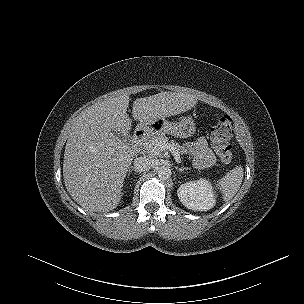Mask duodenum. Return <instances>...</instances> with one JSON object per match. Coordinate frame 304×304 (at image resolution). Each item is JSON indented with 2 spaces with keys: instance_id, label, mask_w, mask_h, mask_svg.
Wrapping results in <instances>:
<instances>
[{
  "instance_id": "obj_1",
  "label": "duodenum",
  "mask_w": 304,
  "mask_h": 304,
  "mask_svg": "<svg viewBox=\"0 0 304 304\" xmlns=\"http://www.w3.org/2000/svg\"><path fill=\"white\" fill-rule=\"evenodd\" d=\"M146 138V134L142 130H138L133 135V144L135 146H140Z\"/></svg>"
}]
</instances>
